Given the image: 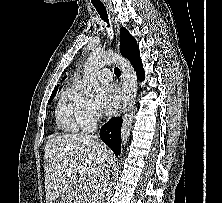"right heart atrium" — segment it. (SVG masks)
<instances>
[{
  "label": "right heart atrium",
  "mask_w": 222,
  "mask_h": 203,
  "mask_svg": "<svg viewBox=\"0 0 222 203\" xmlns=\"http://www.w3.org/2000/svg\"><path fill=\"white\" fill-rule=\"evenodd\" d=\"M72 104L79 127L84 130L94 128L100 118V114L92 100L86 96L74 94Z\"/></svg>",
  "instance_id": "obj_1"
}]
</instances>
